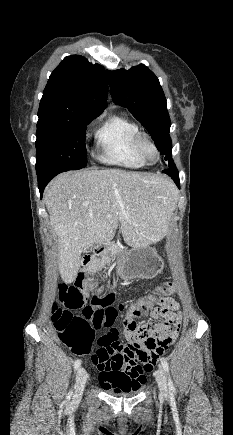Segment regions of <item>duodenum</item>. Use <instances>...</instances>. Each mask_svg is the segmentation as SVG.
Returning <instances> with one entry per match:
<instances>
[{
    "label": "duodenum",
    "instance_id": "410a0bca",
    "mask_svg": "<svg viewBox=\"0 0 233 435\" xmlns=\"http://www.w3.org/2000/svg\"><path fill=\"white\" fill-rule=\"evenodd\" d=\"M119 252V248L116 246H111L107 242H103L99 244L91 253L87 254L84 259V268L92 269L94 261L103 254L113 253L117 254Z\"/></svg>",
    "mask_w": 233,
    "mask_h": 435
}]
</instances>
